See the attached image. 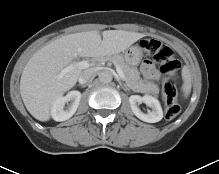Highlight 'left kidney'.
Instances as JSON below:
<instances>
[{"label": "left kidney", "mask_w": 219, "mask_h": 174, "mask_svg": "<svg viewBox=\"0 0 219 174\" xmlns=\"http://www.w3.org/2000/svg\"><path fill=\"white\" fill-rule=\"evenodd\" d=\"M129 103L134 115L140 120L148 123H156L163 118V111L160 102L157 98L144 95L143 97L139 95H131L129 97ZM137 103H145L152 111H148L146 114L143 113L137 106Z\"/></svg>", "instance_id": "obj_1"}]
</instances>
